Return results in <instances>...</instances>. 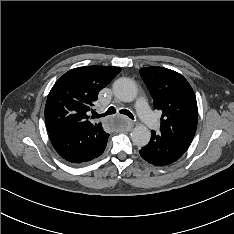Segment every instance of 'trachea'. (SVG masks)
Listing matches in <instances>:
<instances>
[{
	"mask_svg": "<svg viewBox=\"0 0 234 234\" xmlns=\"http://www.w3.org/2000/svg\"><path fill=\"white\" fill-rule=\"evenodd\" d=\"M115 112H116L115 108H114V107H110V108H109L105 113H103V114H97V113H95V114H94V117H95V118L105 117V116H107V115H112V114H114ZM120 113H121V114H124V115H126V116H128V117L131 118V119H134L133 114H132L130 111L126 110V109L120 110Z\"/></svg>",
	"mask_w": 234,
	"mask_h": 234,
	"instance_id": "1",
	"label": "trachea"
}]
</instances>
